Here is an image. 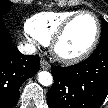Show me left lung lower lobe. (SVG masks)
Masks as SVG:
<instances>
[{
    "mask_svg": "<svg viewBox=\"0 0 108 108\" xmlns=\"http://www.w3.org/2000/svg\"><path fill=\"white\" fill-rule=\"evenodd\" d=\"M51 71L49 108H99L108 96V48L97 47L86 60L69 67L52 66Z\"/></svg>",
    "mask_w": 108,
    "mask_h": 108,
    "instance_id": "1",
    "label": "left lung lower lobe"
}]
</instances>
